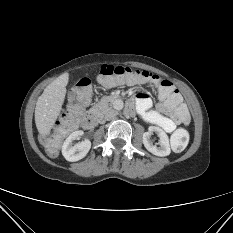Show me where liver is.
I'll return each instance as SVG.
<instances>
[{"mask_svg":"<svg viewBox=\"0 0 233 233\" xmlns=\"http://www.w3.org/2000/svg\"><path fill=\"white\" fill-rule=\"evenodd\" d=\"M68 81L69 74H61L38 97L35 107V124L38 132L43 136L49 135L55 125L64 103Z\"/></svg>","mask_w":233,"mask_h":233,"instance_id":"6515ba94","label":"liver"}]
</instances>
